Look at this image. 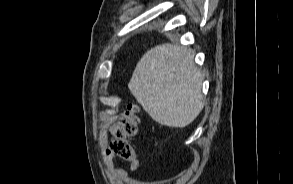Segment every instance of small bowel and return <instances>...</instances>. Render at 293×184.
<instances>
[{
    "label": "small bowel",
    "mask_w": 293,
    "mask_h": 184,
    "mask_svg": "<svg viewBox=\"0 0 293 184\" xmlns=\"http://www.w3.org/2000/svg\"><path fill=\"white\" fill-rule=\"evenodd\" d=\"M104 165L108 170L111 180L114 184H127L128 173L121 167L116 166L113 157L107 155L104 158ZM138 168V162L130 164V169L135 171Z\"/></svg>",
    "instance_id": "small-bowel-1"
}]
</instances>
